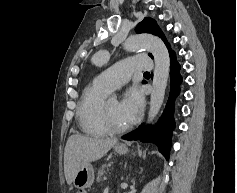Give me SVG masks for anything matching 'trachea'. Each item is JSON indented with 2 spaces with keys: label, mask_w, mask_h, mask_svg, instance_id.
Wrapping results in <instances>:
<instances>
[{
  "label": "trachea",
  "mask_w": 237,
  "mask_h": 193,
  "mask_svg": "<svg viewBox=\"0 0 237 193\" xmlns=\"http://www.w3.org/2000/svg\"><path fill=\"white\" fill-rule=\"evenodd\" d=\"M144 75H150V73L149 72H145Z\"/></svg>",
  "instance_id": "trachea-1"
}]
</instances>
